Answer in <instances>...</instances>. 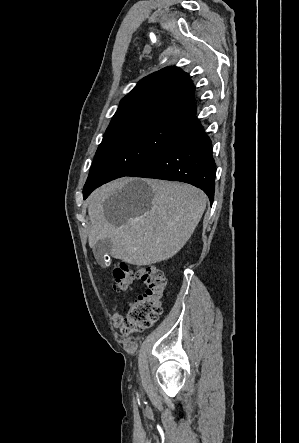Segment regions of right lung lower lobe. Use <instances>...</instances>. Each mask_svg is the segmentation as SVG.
Here are the masks:
<instances>
[{
	"label": "right lung lower lobe",
	"mask_w": 299,
	"mask_h": 443,
	"mask_svg": "<svg viewBox=\"0 0 299 443\" xmlns=\"http://www.w3.org/2000/svg\"><path fill=\"white\" fill-rule=\"evenodd\" d=\"M215 170L211 141L194 112L183 121L179 133L166 147L127 176L189 183L201 188L211 200Z\"/></svg>",
	"instance_id": "1"
}]
</instances>
